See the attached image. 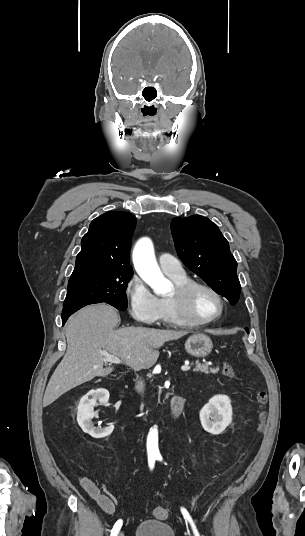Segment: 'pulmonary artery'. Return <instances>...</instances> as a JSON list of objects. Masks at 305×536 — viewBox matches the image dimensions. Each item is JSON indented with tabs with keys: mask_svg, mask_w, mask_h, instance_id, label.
Returning <instances> with one entry per match:
<instances>
[{
	"mask_svg": "<svg viewBox=\"0 0 305 536\" xmlns=\"http://www.w3.org/2000/svg\"><path fill=\"white\" fill-rule=\"evenodd\" d=\"M158 263L162 271L167 275L180 276L185 272L179 261L170 254H160Z\"/></svg>",
	"mask_w": 305,
	"mask_h": 536,
	"instance_id": "pulmonary-artery-1",
	"label": "pulmonary artery"
}]
</instances>
